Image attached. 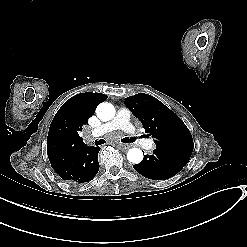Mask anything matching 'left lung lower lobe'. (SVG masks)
Here are the masks:
<instances>
[{"label": "left lung lower lobe", "instance_id": "left-lung-lower-lobe-1", "mask_svg": "<svg viewBox=\"0 0 247 247\" xmlns=\"http://www.w3.org/2000/svg\"><path fill=\"white\" fill-rule=\"evenodd\" d=\"M187 163L181 157L156 148L152 155H145L133 168L146 178L165 180L176 175Z\"/></svg>", "mask_w": 247, "mask_h": 247}]
</instances>
